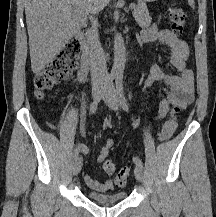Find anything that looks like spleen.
I'll use <instances>...</instances> for the list:
<instances>
[{"label": "spleen", "instance_id": "spleen-1", "mask_svg": "<svg viewBox=\"0 0 216 217\" xmlns=\"http://www.w3.org/2000/svg\"><path fill=\"white\" fill-rule=\"evenodd\" d=\"M188 4L194 9L195 5H194V0H188Z\"/></svg>", "mask_w": 216, "mask_h": 217}]
</instances>
